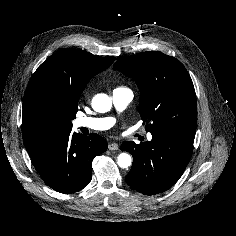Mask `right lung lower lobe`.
I'll list each match as a JSON object with an SVG mask.
<instances>
[{
  "instance_id": "98d812e1",
  "label": "right lung lower lobe",
  "mask_w": 236,
  "mask_h": 236,
  "mask_svg": "<svg viewBox=\"0 0 236 236\" xmlns=\"http://www.w3.org/2000/svg\"><path fill=\"white\" fill-rule=\"evenodd\" d=\"M25 147L43 181L58 192L70 194L89 184L92 161L108 145L97 134L81 138L68 130L51 137H38Z\"/></svg>"
}]
</instances>
